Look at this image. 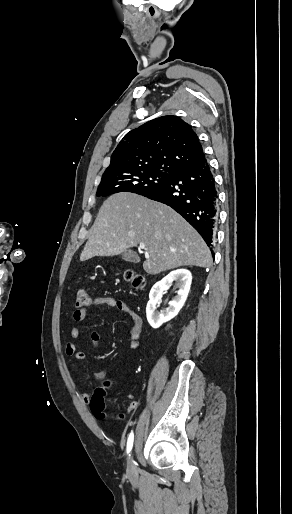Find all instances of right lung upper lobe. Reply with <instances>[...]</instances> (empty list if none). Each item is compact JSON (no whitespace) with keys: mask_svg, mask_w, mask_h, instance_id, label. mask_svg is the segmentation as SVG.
<instances>
[{"mask_svg":"<svg viewBox=\"0 0 292 514\" xmlns=\"http://www.w3.org/2000/svg\"><path fill=\"white\" fill-rule=\"evenodd\" d=\"M205 158L197 134L177 116L153 119L131 130L120 141L102 179L145 172L171 175Z\"/></svg>","mask_w":292,"mask_h":514,"instance_id":"obj_1","label":"right lung upper lobe"}]
</instances>
